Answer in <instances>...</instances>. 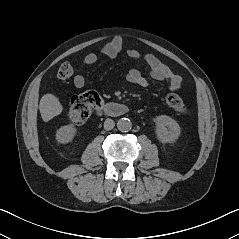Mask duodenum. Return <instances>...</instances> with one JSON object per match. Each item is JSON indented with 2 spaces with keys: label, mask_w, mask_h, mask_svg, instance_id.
Instances as JSON below:
<instances>
[{
  "label": "duodenum",
  "mask_w": 239,
  "mask_h": 239,
  "mask_svg": "<svg viewBox=\"0 0 239 239\" xmlns=\"http://www.w3.org/2000/svg\"><path fill=\"white\" fill-rule=\"evenodd\" d=\"M129 112V107L121 103H105L98 108L99 115L122 116Z\"/></svg>",
  "instance_id": "obj_1"
}]
</instances>
